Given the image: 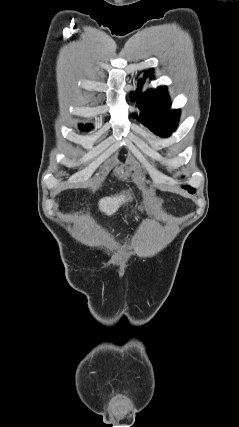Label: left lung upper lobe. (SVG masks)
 <instances>
[{
    "label": "left lung upper lobe",
    "instance_id": "1",
    "mask_svg": "<svg viewBox=\"0 0 239 427\" xmlns=\"http://www.w3.org/2000/svg\"><path fill=\"white\" fill-rule=\"evenodd\" d=\"M152 72L153 70L147 71L145 77L150 76ZM142 83V80H140L137 91L132 93L133 99L139 96L137 106L142 110V116L139 120L155 134L161 137H168L178 124L180 110H173L164 115L163 113L170 107L166 87L162 86L157 89L147 90L140 95ZM183 188L189 192H195L190 186H183Z\"/></svg>",
    "mask_w": 239,
    "mask_h": 427
}]
</instances>
